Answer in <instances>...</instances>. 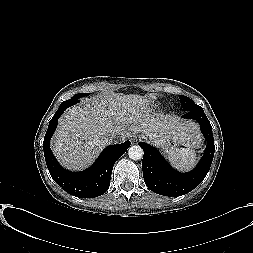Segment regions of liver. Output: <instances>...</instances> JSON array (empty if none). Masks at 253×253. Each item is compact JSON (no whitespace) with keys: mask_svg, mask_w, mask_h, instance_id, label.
I'll return each instance as SVG.
<instances>
[{"mask_svg":"<svg viewBox=\"0 0 253 253\" xmlns=\"http://www.w3.org/2000/svg\"><path fill=\"white\" fill-rule=\"evenodd\" d=\"M150 100L140 95L106 93L86 98L69 108L59 119L51 141L57 160L67 169L82 170L110 144V135L141 132L159 145L166 139L187 147L199 146L197 123L152 112Z\"/></svg>","mask_w":253,"mask_h":253,"instance_id":"6515ba94","label":"liver"}]
</instances>
